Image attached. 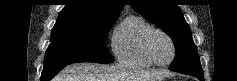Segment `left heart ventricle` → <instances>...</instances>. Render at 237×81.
<instances>
[{
  "instance_id": "left-heart-ventricle-1",
  "label": "left heart ventricle",
  "mask_w": 237,
  "mask_h": 81,
  "mask_svg": "<svg viewBox=\"0 0 237 81\" xmlns=\"http://www.w3.org/2000/svg\"><path fill=\"white\" fill-rule=\"evenodd\" d=\"M151 51L154 59L159 63H165L172 56V47L169 40L161 34H154L151 38Z\"/></svg>"
}]
</instances>
